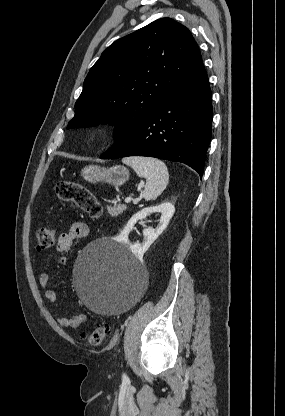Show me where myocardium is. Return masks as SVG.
Instances as JSON below:
<instances>
[{"label":"myocardium","mask_w":285,"mask_h":416,"mask_svg":"<svg viewBox=\"0 0 285 416\" xmlns=\"http://www.w3.org/2000/svg\"><path fill=\"white\" fill-rule=\"evenodd\" d=\"M101 138L102 137L99 133H94V134H92V136L90 138V141H91V143L96 144V143L101 141Z\"/></svg>","instance_id":"obj_1"}]
</instances>
